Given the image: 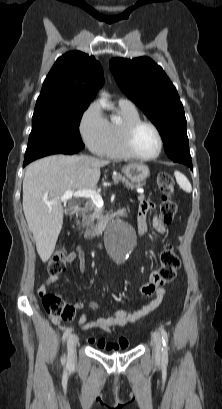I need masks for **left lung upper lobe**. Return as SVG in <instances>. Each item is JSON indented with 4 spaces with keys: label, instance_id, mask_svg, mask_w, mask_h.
<instances>
[{
    "label": "left lung upper lobe",
    "instance_id": "5c2ea615",
    "mask_svg": "<svg viewBox=\"0 0 222 409\" xmlns=\"http://www.w3.org/2000/svg\"><path fill=\"white\" fill-rule=\"evenodd\" d=\"M109 65L122 91L158 128L168 157L190 156L183 105L163 69L148 57L113 58Z\"/></svg>",
    "mask_w": 222,
    "mask_h": 409
}]
</instances>
